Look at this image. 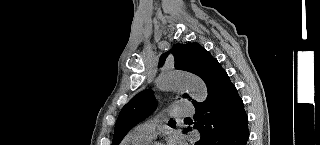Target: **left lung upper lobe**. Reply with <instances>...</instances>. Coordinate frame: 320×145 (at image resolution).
Returning <instances> with one entry per match:
<instances>
[{
  "label": "left lung upper lobe",
  "mask_w": 320,
  "mask_h": 145,
  "mask_svg": "<svg viewBox=\"0 0 320 145\" xmlns=\"http://www.w3.org/2000/svg\"><path fill=\"white\" fill-rule=\"evenodd\" d=\"M169 53L174 56L176 69L198 76H201L204 69L214 60L199 43L175 44L169 52L162 54L159 66L163 65ZM183 96L189 97L187 94ZM155 107L156 102L151 90H145L134 96L119 113L112 145H118L128 131L149 116ZM168 124L174 127L176 122L171 119Z\"/></svg>",
  "instance_id": "5c2ea615"
}]
</instances>
